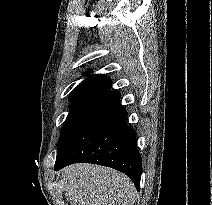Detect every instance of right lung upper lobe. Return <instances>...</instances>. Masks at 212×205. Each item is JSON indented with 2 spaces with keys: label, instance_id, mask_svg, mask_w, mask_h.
<instances>
[{
  "label": "right lung upper lobe",
  "instance_id": "obj_1",
  "mask_svg": "<svg viewBox=\"0 0 212 205\" xmlns=\"http://www.w3.org/2000/svg\"><path fill=\"white\" fill-rule=\"evenodd\" d=\"M90 73L91 70L86 73ZM111 81L105 75L88 76L79 86H77L71 95L69 101H75L79 99L89 97H101L111 88Z\"/></svg>",
  "mask_w": 212,
  "mask_h": 205
}]
</instances>
